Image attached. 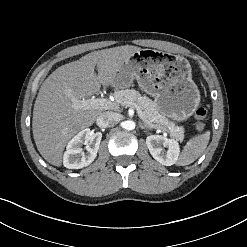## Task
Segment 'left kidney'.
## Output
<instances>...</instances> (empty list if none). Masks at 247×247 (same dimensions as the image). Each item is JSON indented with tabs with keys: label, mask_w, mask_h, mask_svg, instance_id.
I'll list each match as a JSON object with an SVG mask.
<instances>
[{
	"label": "left kidney",
	"mask_w": 247,
	"mask_h": 247,
	"mask_svg": "<svg viewBox=\"0 0 247 247\" xmlns=\"http://www.w3.org/2000/svg\"><path fill=\"white\" fill-rule=\"evenodd\" d=\"M146 145L152 157L160 164L171 166L177 163L180 148L176 140L161 135H150L146 138Z\"/></svg>",
	"instance_id": "1"
}]
</instances>
